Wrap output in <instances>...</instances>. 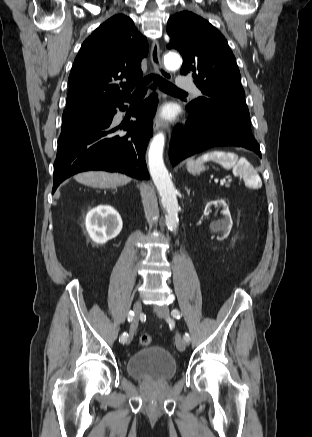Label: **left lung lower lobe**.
I'll list each match as a JSON object with an SVG mask.
<instances>
[{"instance_id":"1","label":"left lung lower lobe","mask_w":312,"mask_h":437,"mask_svg":"<svg viewBox=\"0 0 312 437\" xmlns=\"http://www.w3.org/2000/svg\"><path fill=\"white\" fill-rule=\"evenodd\" d=\"M190 120L182 127L177 126L172 135L169 157L173 166L181 160L214 146H237L254 151L261 157L255 138L248 137L231 122L218 115L193 112L187 108Z\"/></svg>"}]
</instances>
